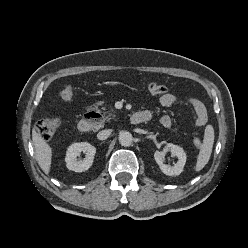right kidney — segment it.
I'll return each instance as SVG.
<instances>
[{"label":"right kidney","instance_id":"right-kidney-1","mask_svg":"<svg viewBox=\"0 0 248 248\" xmlns=\"http://www.w3.org/2000/svg\"><path fill=\"white\" fill-rule=\"evenodd\" d=\"M81 152L85 153V158L78 160L77 157ZM95 153L96 148L88 142L74 143L67 150L65 157L66 166L69 170L84 172L92 166Z\"/></svg>","mask_w":248,"mask_h":248}]
</instances>
